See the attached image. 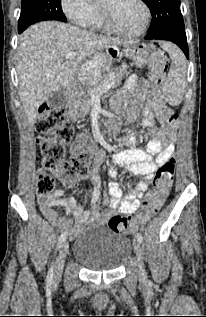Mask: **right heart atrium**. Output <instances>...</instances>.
<instances>
[{"instance_id": "d8ad5b80", "label": "right heart atrium", "mask_w": 206, "mask_h": 317, "mask_svg": "<svg viewBox=\"0 0 206 317\" xmlns=\"http://www.w3.org/2000/svg\"><path fill=\"white\" fill-rule=\"evenodd\" d=\"M61 8L68 20L79 27H89L97 13L89 0H61Z\"/></svg>"}]
</instances>
